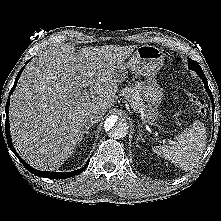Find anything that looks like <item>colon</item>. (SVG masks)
<instances>
[{"mask_svg":"<svg viewBox=\"0 0 221 221\" xmlns=\"http://www.w3.org/2000/svg\"><path fill=\"white\" fill-rule=\"evenodd\" d=\"M188 97L192 105L194 106L196 113L201 116L205 115L206 113L205 102L199 96H197L191 91H188Z\"/></svg>","mask_w":221,"mask_h":221,"instance_id":"colon-1","label":"colon"}]
</instances>
